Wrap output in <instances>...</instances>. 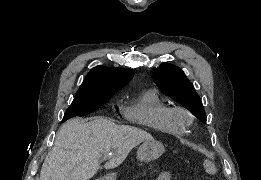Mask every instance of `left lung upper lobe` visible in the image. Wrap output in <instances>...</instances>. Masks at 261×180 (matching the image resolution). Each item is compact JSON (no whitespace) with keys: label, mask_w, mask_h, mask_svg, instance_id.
Instances as JSON below:
<instances>
[{"label":"left lung upper lobe","mask_w":261,"mask_h":180,"mask_svg":"<svg viewBox=\"0 0 261 180\" xmlns=\"http://www.w3.org/2000/svg\"><path fill=\"white\" fill-rule=\"evenodd\" d=\"M152 76L163 92L186 107L198 119L206 120L201 99L180 68L164 62L153 69Z\"/></svg>","instance_id":"1"}]
</instances>
